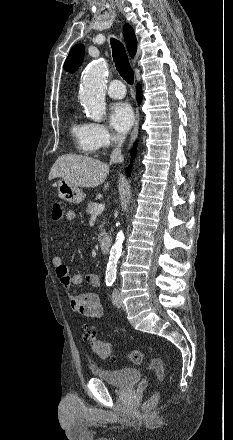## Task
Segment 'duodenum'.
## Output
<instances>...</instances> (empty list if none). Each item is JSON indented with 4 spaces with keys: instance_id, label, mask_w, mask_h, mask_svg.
<instances>
[{
    "instance_id": "410a0bca",
    "label": "duodenum",
    "mask_w": 233,
    "mask_h": 440,
    "mask_svg": "<svg viewBox=\"0 0 233 440\" xmlns=\"http://www.w3.org/2000/svg\"><path fill=\"white\" fill-rule=\"evenodd\" d=\"M111 244H112V238L109 236H105L99 240V246L102 252H108Z\"/></svg>"
}]
</instances>
